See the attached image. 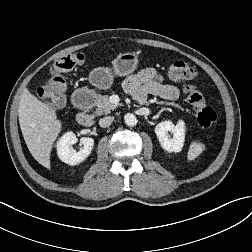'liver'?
<instances>
[{
  "mask_svg": "<svg viewBox=\"0 0 252 252\" xmlns=\"http://www.w3.org/2000/svg\"><path fill=\"white\" fill-rule=\"evenodd\" d=\"M18 117L31 155L39 164L50 169L52 146L62 129L56 112L25 89L20 98Z\"/></svg>",
  "mask_w": 252,
  "mask_h": 252,
  "instance_id": "6515ba94",
  "label": "liver"
}]
</instances>
